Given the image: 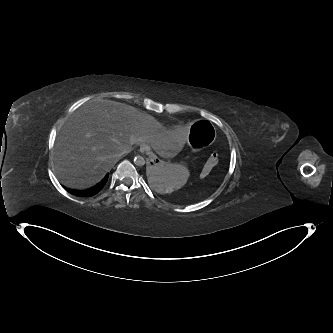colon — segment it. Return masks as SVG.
Listing matches in <instances>:
<instances>
[{
    "label": "colon",
    "mask_w": 333,
    "mask_h": 333,
    "mask_svg": "<svg viewBox=\"0 0 333 333\" xmlns=\"http://www.w3.org/2000/svg\"><path fill=\"white\" fill-rule=\"evenodd\" d=\"M218 159V153L213 152L201 171V177H205L210 173V171L217 165Z\"/></svg>",
    "instance_id": "5ec220e1"
}]
</instances>
